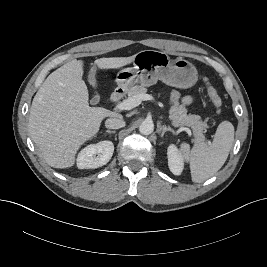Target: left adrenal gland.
Masks as SVG:
<instances>
[{
    "label": "left adrenal gland",
    "mask_w": 267,
    "mask_h": 267,
    "mask_svg": "<svg viewBox=\"0 0 267 267\" xmlns=\"http://www.w3.org/2000/svg\"><path fill=\"white\" fill-rule=\"evenodd\" d=\"M160 130L162 131V133H161V138L164 136V134H165L166 132L174 133V130H173L171 127H167V126H165V125L160 126Z\"/></svg>",
    "instance_id": "obj_1"
}]
</instances>
